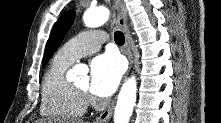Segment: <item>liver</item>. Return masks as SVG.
Listing matches in <instances>:
<instances>
[{
	"label": "liver",
	"mask_w": 221,
	"mask_h": 123,
	"mask_svg": "<svg viewBox=\"0 0 221 123\" xmlns=\"http://www.w3.org/2000/svg\"><path fill=\"white\" fill-rule=\"evenodd\" d=\"M69 123H84L83 120H67ZM35 123H46V120H37Z\"/></svg>",
	"instance_id": "1"
}]
</instances>
